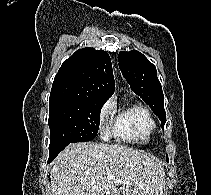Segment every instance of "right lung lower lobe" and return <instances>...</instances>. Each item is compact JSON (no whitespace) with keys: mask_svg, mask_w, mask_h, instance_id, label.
<instances>
[{"mask_svg":"<svg viewBox=\"0 0 211 195\" xmlns=\"http://www.w3.org/2000/svg\"><path fill=\"white\" fill-rule=\"evenodd\" d=\"M66 147V146H65ZM60 148L56 151L50 152L49 153V159H48V163H50L52 160H54L56 158V156L65 148Z\"/></svg>","mask_w":211,"mask_h":195,"instance_id":"1","label":"right lung lower lobe"}]
</instances>
